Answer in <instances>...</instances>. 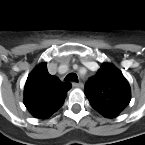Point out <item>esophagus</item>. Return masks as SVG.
<instances>
[{"instance_id":"obj_1","label":"esophagus","mask_w":145,"mask_h":145,"mask_svg":"<svg viewBox=\"0 0 145 145\" xmlns=\"http://www.w3.org/2000/svg\"><path fill=\"white\" fill-rule=\"evenodd\" d=\"M72 85L74 87H78V88H83V86H84L82 82H73Z\"/></svg>"}]
</instances>
